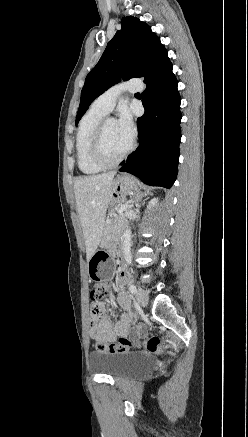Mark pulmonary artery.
<instances>
[{
	"label": "pulmonary artery",
	"instance_id": "1",
	"mask_svg": "<svg viewBox=\"0 0 248 437\" xmlns=\"http://www.w3.org/2000/svg\"><path fill=\"white\" fill-rule=\"evenodd\" d=\"M142 88L143 85L141 79L131 78L109 88L94 100L92 107L108 113L113 109L116 101L123 92H138L141 91Z\"/></svg>",
	"mask_w": 248,
	"mask_h": 437
}]
</instances>
